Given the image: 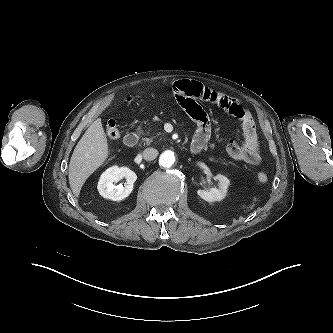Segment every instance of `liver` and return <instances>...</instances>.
Wrapping results in <instances>:
<instances>
[{"instance_id": "obj_1", "label": "liver", "mask_w": 333, "mask_h": 333, "mask_svg": "<svg viewBox=\"0 0 333 333\" xmlns=\"http://www.w3.org/2000/svg\"><path fill=\"white\" fill-rule=\"evenodd\" d=\"M109 155L108 143L101 119H96L77 143L69 163V184L78 197L87 178Z\"/></svg>"}]
</instances>
